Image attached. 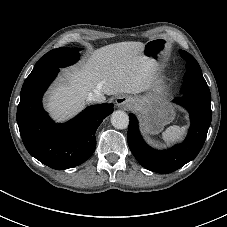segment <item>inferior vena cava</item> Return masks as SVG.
Here are the masks:
<instances>
[{
	"instance_id": "obj_1",
	"label": "inferior vena cava",
	"mask_w": 227,
	"mask_h": 227,
	"mask_svg": "<svg viewBox=\"0 0 227 227\" xmlns=\"http://www.w3.org/2000/svg\"><path fill=\"white\" fill-rule=\"evenodd\" d=\"M88 101H93L97 103H103L105 101V97L99 91L91 92L88 97Z\"/></svg>"
}]
</instances>
